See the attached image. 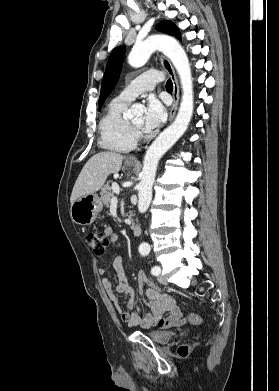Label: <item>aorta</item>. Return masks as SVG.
<instances>
[{
  "instance_id": "obj_1",
  "label": "aorta",
  "mask_w": 279,
  "mask_h": 391,
  "mask_svg": "<svg viewBox=\"0 0 279 391\" xmlns=\"http://www.w3.org/2000/svg\"><path fill=\"white\" fill-rule=\"evenodd\" d=\"M156 50L162 51L177 70L182 87V100L174 122L158 135L144 156L141 181L138 188V210L140 213H145L151 203L152 187L159 160L185 133L191 121L194 107L189 59L182 46L174 38L154 35L136 43L128 56V63L134 68L142 67ZM141 110L142 106L140 104H134L130 108L133 115ZM140 249L149 250L150 246L147 243H142Z\"/></svg>"
}]
</instances>
